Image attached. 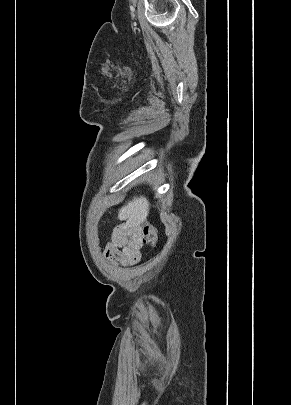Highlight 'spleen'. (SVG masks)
Returning <instances> with one entry per match:
<instances>
[{
    "instance_id": "1",
    "label": "spleen",
    "mask_w": 291,
    "mask_h": 405,
    "mask_svg": "<svg viewBox=\"0 0 291 405\" xmlns=\"http://www.w3.org/2000/svg\"><path fill=\"white\" fill-rule=\"evenodd\" d=\"M149 212V202L143 196L134 197V199L125 205L120 211V219L137 220L143 222L146 220Z\"/></svg>"
}]
</instances>
